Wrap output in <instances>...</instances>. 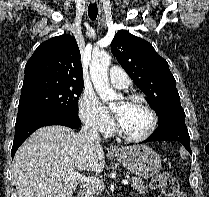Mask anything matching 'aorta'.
<instances>
[{
  "instance_id": "1",
  "label": "aorta",
  "mask_w": 209,
  "mask_h": 197,
  "mask_svg": "<svg viewBox=\"0 0 209 197\" xmlns=\"http://www.w3.org/2000/svg\"><path fill=\"white\" fill-rule=\"evenodd\" d=\"M111 56L107 52H100L92 57L90 64L91 80L100 98L104 101H114L119 95L110 87L108 81V67Z\"/></svg>"
}]
</instances>
